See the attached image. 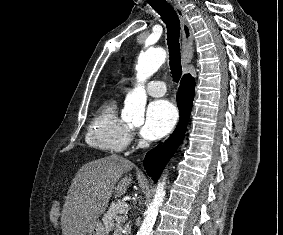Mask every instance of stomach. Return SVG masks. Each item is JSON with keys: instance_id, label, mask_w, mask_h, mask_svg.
<instances>
[{"instance_id": "0dacf381", "label": "stomach", "mask_w": 283, "mask_h": 235, "mask_svg": "<svg viewBox=\"0 0 283 235\" xmlns=\"http://www.w3.org/2000/svg\"><path fill=\"white\" fill-rule=\"evenodd\" d=\"M106 231L100 221H96L89 229L87 235H105Z\"/></svg>"}]
</instances>
